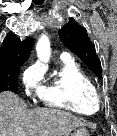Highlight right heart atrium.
I'll list each match as a JSON object with an SVG mask.
<instances>
[{"instance_id":"obj_1","label":"right heart atrium","mask_w":117,"mask_h":136,"mask_svg":"<svg viewBox=\"0 0 117 136\" xmlns=\"http://www.w3.org/2000/svg\"><path fill=\"white\" fill-rule=\"evenodd\" d=\"M43 78V72L37 66H31L26 69L22 76V81L25 87L26 93L35 92L41 97L43 88L41 85Z\"/></svg>"}]
</instances>
